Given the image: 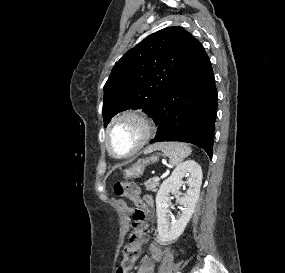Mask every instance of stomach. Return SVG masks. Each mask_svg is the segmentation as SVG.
Instances as JSON below:
<instances>
[{"label":"stomach","mask_w":285,"mask_h":273,"mask_svg":"<svg viewBox=\"0 0 285 273\" xmlns=\"http://www.w3.org/2000/svg\"><path fill=\"white\" fill-rule=\"evenodd\" d=\"M157 160H158V158L156 156H151L145 160H142V161L134 164L132 167L125 170V172H124L125 178H138V177H140L143 174L146 165L150 164V163H154Z\"/></svg>","instance_id":"1"}]
</instances>
